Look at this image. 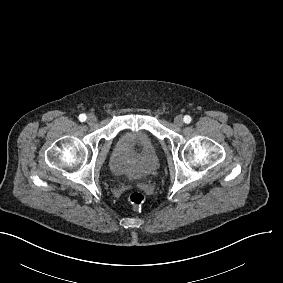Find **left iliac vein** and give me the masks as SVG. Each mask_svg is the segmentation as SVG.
Returning a JSON list of instances; mask_svg holds the SVG:
<instances>
[{
	"label": "left iliac vein",
	"instance_id": "obj_1",
	"mask_svg": "<svg viewBox=\"0 0 283 283\" xmlns=\"http://www.w3.org/2000/svg\"><path fill=\"white\" fill-rule=\"evenodd\" d=\"M184 121H183V117L181 115H178L174 118V124L177 127H181L183 125Z\"/></svg>",
	"mask_w": 283,
	"mask_h": 283
}]
</instances>
